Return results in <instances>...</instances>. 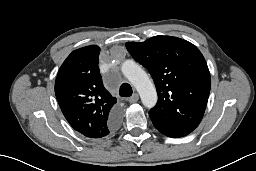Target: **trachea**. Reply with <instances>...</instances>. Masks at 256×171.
I'll list each match as a JSON object with an SVG mask.
<instances>
[{
	"label": "trachea",
	"mask_w": 256,
	"mask_h": 171,
	"mask_svg": "<svg viewBox=\"0 0 256 171\" xmlns=\"http://www.w3.org/2000/svg\"><path fill=\"white\" fill-rule=\"evenodd\" d=\"M132 87L128 83H123L120 86L119 94L121 97H130L132 95Z\"/></svg>",
	"instance_id": "trachea-1"
}]
</instances>
